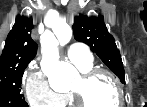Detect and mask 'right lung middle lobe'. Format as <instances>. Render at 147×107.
<instances>
[{"label":"right lung middle lobe","mask_w":147,"mask_h":107,"mask_svg":"<svg viewBox=\"0 0 147 107\" xmlns=\"http://www.w3.org/2000/svg\"><path fill=\"white\" fill-rule=\"evenodd\" d=\"M25 68L0 75V107H29L20 94Z\"/></svg>","instance_id":"obj_1"}]
</instances>
